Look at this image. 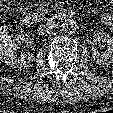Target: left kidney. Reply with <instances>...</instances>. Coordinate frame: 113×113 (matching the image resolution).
Masks as SVG:
<instances>
[{
	"mask_svg": "<svg viewBox=\"0 0 113 113\" xmlns=\"http://www.w3.org/2000/svg\"><path fill=\"white\" fill-rule=\"evenodd\" d=\"M102 41L106 45V51L103 53L94 49L92 57L93 60L99 64L107 65L113 63V36L108 33L98 32L94 35L93 42Z\"/></svg>",
	"mask_w": 113,
	"mask_h": 113,
	"instance_id": "left-kidney-1",
	"label": "left kidney"
}]
</instances>
